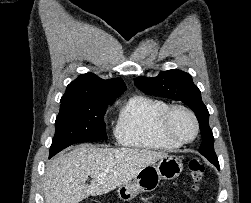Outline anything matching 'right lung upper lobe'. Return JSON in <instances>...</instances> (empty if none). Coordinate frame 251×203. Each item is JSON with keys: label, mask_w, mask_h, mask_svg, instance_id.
Returning <instances> with one entry per match:
<instances>
[{"label": "right lung upper lobe", "mask_w": 251, "mask_h": 203, "mask_svg": "<svg viewBox=\"0 0 251 203\" xmlns=\"http://www.w3.org/2000/svg\"><path fill=\"white\" fill-rule=\"evenodd\" d=\"M126 90L120 78L103 80L93 73L81 74L72 81L61 98V105L81 102H114Z\"/></svg>", "instance_id": "cb5924a9"}]
</instances>
